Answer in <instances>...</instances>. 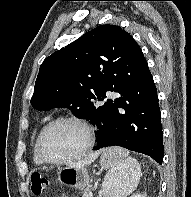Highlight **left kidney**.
<instances>
[{
    "label": "left kidney",
    "instance_id": "5707ae66",
    "mask_svg": "<svg viewBox=\"0 0 191 197\" xmlns=\"http://www.w3.org/2000/svg\"><path fill=\"white\" fill-rule=\"evenodd\" d=\"M130 197H145V196L143 194L136 193V194H132Z\"/></svg>",
    "mask_w": 191,
    "mask_h": 197
}]
</instances>
